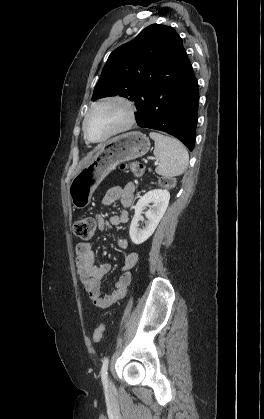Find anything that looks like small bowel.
Masks as SVG:
<instances>
[{
  "label": "small bowel",
  "mask_w": 264,
  "mask_h": 419,
  "mask_svg": "<svg viewBox=\"0 0 264 419\" xmlns=\"http://www.w3.org/2000/svg\"><path fill=\"white\" fill-rule=\"evenodd\" d=\"M135 190V184L129 182L124 186H114L106 192L102 200L103 204L110 205L119 201L122 210L119 214L112 215L108 220L98 216L97 227L99 230H105L109 225L118 226L128 221V208L133 203ZM118 245L122 249H127L128 241L125 238H121L118 240ZM75 252L79 280L95 306L107 308L124 298L132 279L131 271L138 262V254L136 252L130 251L126 254L121 267V274L115 283L114 290L104 296L101 295V281L110 272L111 266L109 264H95V256L90 242L78 243Z\"/></svg>",
  "instance_id": "small-bowel-1"
}]
</instances>
